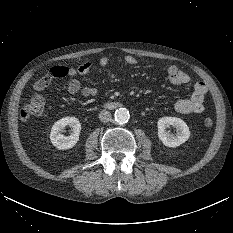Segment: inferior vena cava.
Listing matches in <instances>:
<instances>
[{"label":"inferior vena cava","mask_w":233,"mask_h":233,"mask_svg":"<svg viewBox=\"0 0 233 233\" xmlns=\"http://www.w3.org/2000/svg\"><path fill=\"white\" fill-rule=\"evenodd\" d=\"M99 119L101 122H108L111 120V113L107 110H102L99 113Z\"/></svg>","instance_id":"inferior-vena-cava-1"}]
</instances>
